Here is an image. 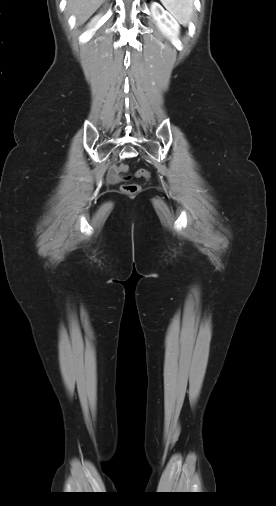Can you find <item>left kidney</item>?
Wrapping results in <instances>:
<instances>
[{
    "mask_svg": "<svg viewBox=\"0 0 276 506\" xmlns=\"http://www.w3.org/2000/svg\"><path fill=\"white\" fill-rule=\"evenodd\" d=\"M151 13L161 33L170 41H177L179 34V25L161 5L154 2L151 5Z\"/></svg>",
    "mask_w": 276,
    "mask_h": 506,
    "instance_id": "5707ae66",
    "label": "left kidney"
}]
</instances>
